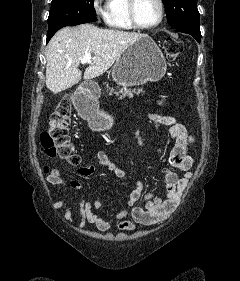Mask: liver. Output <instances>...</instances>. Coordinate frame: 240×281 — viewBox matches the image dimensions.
I'll return each mask as SVG.
<instances>
[{
	"label": "liver",
	"mask_w": 240,
	"mask_h": 281,
	"mask_svg": "<svg viewBox=\"0 0 240 281\" xmlns=\"http://www.w3.org/2000/svg\"><path fill=\"white\" fill-rule=\"evenodd\" d=\"M145 36L141 33L100 29L93 24L64 27L50 40L46 53V86L53 93L66 90L81 80L80 59L93 54L85 69V81L105 73L132 43Z\"/></svg>",
	"instance_id": "liver-1"
}]
</instances>
